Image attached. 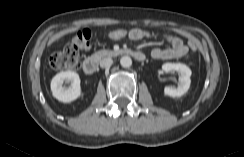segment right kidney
<instances>
[{
	"instance_id": "obj_1",
	"label": "right kidney",
	"mask_w": 244,
	"mask_h": 157,
	"mask_svg": "<svg viewBox=\"0 0 244 157\" xmlns=\"http://www.w3.org/2000/svg\"><path fill=\"white\" fill-rule=\"evenodd\" d=\"M71 82L69 88L63 87V83ZM51 91L54 98L63 103H71L81 95L80 78L74 71H62L56 74L51 81Z\"/></svg>"
}]
</instances>
